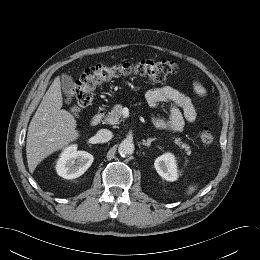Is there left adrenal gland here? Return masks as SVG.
Instances as JSON below:
<instances>
[{
	"mask_svg": "<svg viewBox=\"0 0 260 260\" xmlns=\"http://www.w3.org/2000/svg\"><path fill=\"white\" fill-rule=\"evenodd\" d=\"M155 140H156V138H148L147 141L143 140L142 144H143L144 146L149 147V146L151 145V143H152L153 141H155Z\"/></svg>",
	"mask_w": 260,
	"mask_h": 260,
	"instance_id": "a2214340",
	"label": "left adrenal gland"
}]
</instances>
